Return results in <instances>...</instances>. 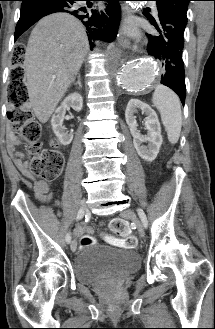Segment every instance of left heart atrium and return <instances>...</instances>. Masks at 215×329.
I'll list each match as a JSON object with an SVG mask.
<instances>
[{"label": "left heart atrium", "mask_w": 215, "mask_h": 329, "mask_svg": "<svg viewBox=\"0 0 215 329\" xmlns=\"http://www.w3.org/2000/svg\"><path fill=\"white\" fill-rule=\"evenodd\" d=\"M125 31L130 34H134L136 32L135 25L131 22L127 23L125 26Z\"/></svg>", "instance_id": "1"}]
</instances>
